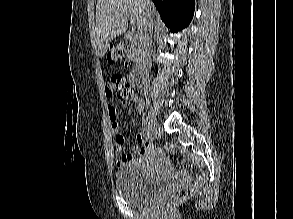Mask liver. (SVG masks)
<instances>
[{"label": "liver", "mask_w": 293, "mask_h": 219, "mask_svg": "<svg viewBox=\"0 0 293 219\" xmlns=\"http://www.w3.org/2000/svg\"><path fill=\"white\" fill-rule=\"evenodd\" d=\"M143 0H97L96 3V45L97 53L102 58L105 56L110 42L127 31L128 18L131 24L141 32L145 26L147 10L155 14V7L150 1L145 6Z\"/></svg>", "instance_id": "6515ba94"}]
</instances>
